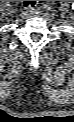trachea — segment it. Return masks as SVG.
<instances>
[{
    "label": "trachea",
    "instance_id": "1",
    "mask_svg": "<svg viewBox=\"0 0 74 122\" xmlns=\"http://www.w3.org/2000/svg\"><path fill=\"white\" fill-rule=\"evenodd\" d=\"M35 4H36V1H24L25 7H28V6L34 7Z\"/></svg>",
    "mask_w": 74,
    "mask_h": 122
}]
</instances>
